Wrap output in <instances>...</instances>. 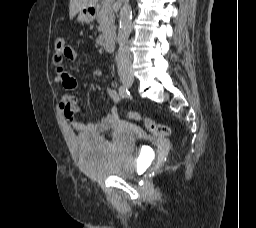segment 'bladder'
<instances>
[{"label":"bladder","mask_w":256,"mask_h":228,"mask_svg":"<svg viewBox=\"0 0 256 228\" xmlns=\"http://www.w3.org/2000/svg\"><path fill=\"white\" fill-rule=\"evenodd\" d=\"M136 137L133 133H115L111 141L83 134L76 138V149L85 170L95 178H129L137 170Z\"/></svg>","instance_id":"1"}]
</instances>
